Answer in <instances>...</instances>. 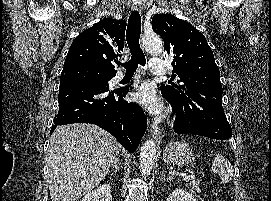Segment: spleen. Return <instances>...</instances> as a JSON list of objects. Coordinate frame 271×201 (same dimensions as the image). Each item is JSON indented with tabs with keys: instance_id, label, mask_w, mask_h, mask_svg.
<instances>
[{
	"instance_id": "obj_1",
	"label": "spleen",
	"mask_w": 271,
	"mask_h": 201,
	"mask_svg": "<svg viewBox=\"0 0 271 201\" xmlns=\"http://www.w3.org/2000/svg\"><path fill=\"white\" fill-rule=\"evenodd\" d=\"M211 169L214 173H217L220 176L221 182L223 184L229 183L232 180L233 177L232 165L221 154L215 155Z\"/></svg>"
}]
</instances>
